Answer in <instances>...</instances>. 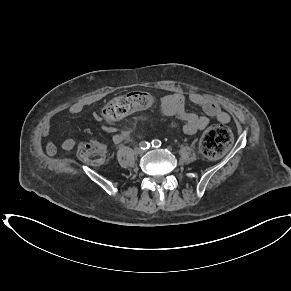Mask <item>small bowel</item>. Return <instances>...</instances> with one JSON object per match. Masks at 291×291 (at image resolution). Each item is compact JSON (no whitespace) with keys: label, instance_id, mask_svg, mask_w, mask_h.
<instances>
[{"label":"small bowel","instance_id":"small-bowel-1","mask_svg":"<svg viewBox=\"0 0 291 291\" xmlns=\"http://www.w3.org/2000/svg\"><path fill=\"white\" fill-rule=\"evenodd\" d=\"M101 99L99 96H88L84 97L68 108V113L72 116L79 115L88 106L98 102ZM190 102L193 105L200 107L203 114L199 115L194 112L189 111L186 108V103ZM156 113L165 116H176L184 121L182 130L187 135H194L198 131L205 129L209 123L210 118L216 119L219 123L226 124L231 120L230 115L224 111L219 104L213 100L211 97L198 93V92H171L163 95L155 109ZM95 120H99L97 114L93 115ZM169 128H176L178 124L175 121H167L163 123ZM104 132L112 135V140L115 144L123 143L131 138L132 133L130 131L119 130L114 126H103ZM43 137H49L50 135V121H47L42 130ZM75 140L72 138H66L61 143V149L64 154L70 153L75 148ZM101 146V145H100ZM106 151L104 146H101ZM44 150L47 155L54 156L57 153V148L51 138L48 139Z\"/></svg>","mask_w":291,"mask_h":291}]
</instances>
